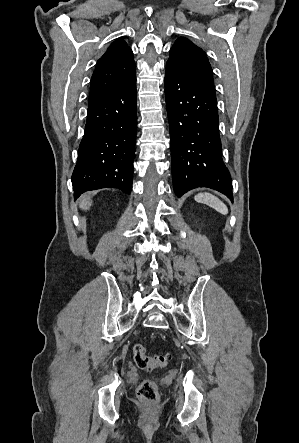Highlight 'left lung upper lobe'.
<instances>
[{
  "label": "left lung upper lobe",
  "mask_w": 299,
  "mask_h": 443,
  "mask_svg": "<svg viewBox=\"0 0 299 443\" xmlns=\"http://www.w3.org/2000/svg\"><path fill=\"white\" fill-rule=\"evenodd\" d=\"M167 64L215 94L212 68L205 52L184 37L176 40Z\"/></svg>",
  "instance_id": "left-lung-upper-lobe-1"
}]
</instances>
